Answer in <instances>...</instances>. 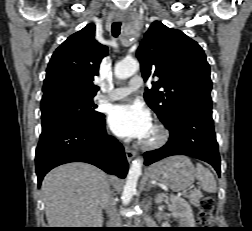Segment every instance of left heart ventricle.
Returning <instances> with one entry per match:
<instances>
[{
	"label": "left heart ventricle",
	"mask_w": 252,
	"mask_h": 231,
	"mask_svg": "<svg viewBox=\"0 0 252 231\" xmlns=\"http://www.w3.org/2000/svg\"><path fill=\"white\" fill-rule=\"evenodd\" d=\"M155 136H156V133H155L154 129L152 128V130L150 131L148 136L145 138V140H152L155 138Z\"/></svg>",
	"instance_id": "1"
}]
</instances>
